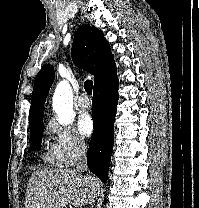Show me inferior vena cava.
<instances>
[{
    "instance_id": "inferior-vena-cava-1",
    "label": "inferior vena cava",
    "mask_w": 199,
    "mask_h": 208,
    "mask_svg": "<svg viewBox=\"0 0 199 208\" xmlns=\"http://www.w3.org/2000/svg\"><path fill=\"white\" fill-rule=\"evenodd\" d=\"M87 148L84 142H79L77 147V163H76V171L77 172H85L88 170L87 167Z\"/></svg>"
}]
</instances>
